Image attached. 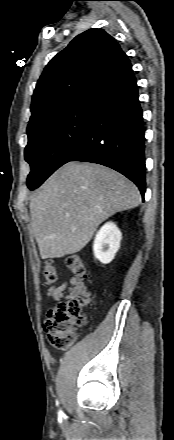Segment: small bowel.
Instances as JSON below:
<instances>
[{"label": "small bowel", "mask_w": 174, "mask_h": 440, "mask_svg": "<svg viewBox=\"0 0 174 440\" xmlns=\"http://www.w3.org/2000/svg\"><path fill=\"white\" fill-rule=\"evenodd\" d=\"M47 295L54 301L61 302L78 296L85 298V305L89 303L90 294L81 280L71 277L61 284L52 286L48 289Z\"/></svg>", "instance_id": "obj_1"}]
</instances>
